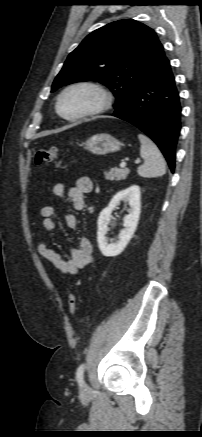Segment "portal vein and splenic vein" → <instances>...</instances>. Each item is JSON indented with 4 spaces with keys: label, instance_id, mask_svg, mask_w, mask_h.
Segmentation results:
<instances>
[{
    "label": "portal vein and splenic vein",
    "instance_id": "portal-vein-and-splenic-vein-1",
    "mask_svg": "<svg viewBox=\"0 0 202 437\" xmlns=\"http://www.w3.org/2000/svg\"><path fill=\"white\" fill-rule=\"evenodd\" d=\"M135 163L138 164V163H140V161L136 160ZM120 167L121 168H125L126 167V162H121Z\"/></svg>",
    "mask_w": 202,
    "mask_h": 437
}]
</instances>
